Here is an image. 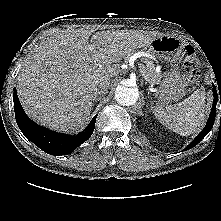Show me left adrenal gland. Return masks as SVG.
I'll return each mask as SVG.
<instances>
[{
  "label": "left adrenal gland",
  "instance_id": "obj_1",
  "mask_svg": "<svg viewBox=\"0 0 221 221\" xmlns=\"http://www.w3.org/2000/svg\"><path fill=\"white\" fill-rule=\"evenodd\" d=\"M148 94H149V92H148ZM153 109V107L151 106V110Z\"/></svg>",
  "mask_w": 221,
  "mask_h": 221
}]
</instances>
